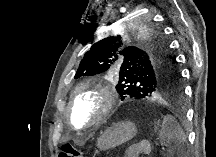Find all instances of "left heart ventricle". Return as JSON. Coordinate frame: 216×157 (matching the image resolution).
I'll list each match as a JSON object with an SVG mask.
<instances>
[{
    "label": "left heart ventricle",
    "mask_w": 216,
    "mask_h": 157,
    "mask_svg": "<svg viewBox=\"0 0 216 157\" xmlns=\"http://www.w3.org/2000/svg\"><path fill=\"white\" fill-rule=\"evenodd\" d=\"M100 106L99 97L93 92H84L76 100L72 110L74 124L77 126L88 123Z\"/></svg>",
    "instance_id": "1"
}]
</instances>
